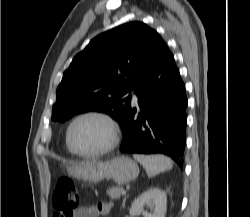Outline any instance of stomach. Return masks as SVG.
Masks as SVG:
<instances>
[{
    "label": "stomach",
    "instance_id": "stomach-1",
    "mask_svg": "<svg viewBox=\"0 0 250 217\" xmlns=\"http://www.w3.org/2000/svg\"><path fill=\"white\" fill-rule=\"evenodd\" d=\"M68 172L76 178L92 183L112 179L122 185L137 178L139 167L132 159L120 156L107 162L86 161L74 164Z\"/></svg>",
    "mask_w": 250,
    "mask_h": 217
}]
</instances>
